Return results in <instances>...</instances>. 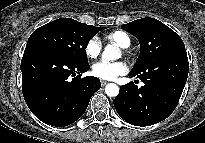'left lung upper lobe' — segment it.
Here are the masks:
<instances>
[{
    "mask_svg": "<svg viewBox=\"0 0 205 143\" xmlns=\"http://www.w3.org/2000/svg\"><path fill=\"white\" fill-rule=\"evenodd\" d=\"M121 27L140 43L141 52L131 73L143 72L168 52L185 48L180 36L155 18L137 19Z\"/></svg>",
    "mask_w": 205,
    "mask_h": 143,
    "instance_id": "1",
    "label": "left lung upper lobe"
}]
</instances>
